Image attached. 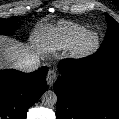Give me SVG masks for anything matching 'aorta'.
<instances>
[{
	"instance_id": "1",
	"label": "aorta",
	"mask_w": 119,
	"mask_h": 119,
	"mask_svg": "<svg viewBox=\"0 0 119 119\" xmlns=\"http://www.w3.org/2000/svg\"><path fill=\"white\" fill-rule=\"evenodd\" d=\"M41 102L47 107L54 106L57 103V95L54 91L48 90L43 93Z\"/></svg>"
}]
</instances>
